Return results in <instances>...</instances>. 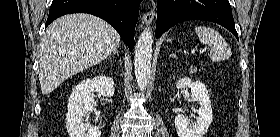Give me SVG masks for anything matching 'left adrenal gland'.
<instances>
[{
    "mask_svg": "<svg viewBox=\"0 0 280 137\" xmlns=\"http://www.w3.org/2000/svg\"><path fill=\"white\" fill-rule=\"evenodd\" d=\"M170 56H172V57H176V55L175 54H173V53H171V55Z\"/></svg>",
    "mask_w": 280,
    "mask_h": 137,
    "instance_id": "1",
    "label": "left adrenal gland"
}]
</instances>
